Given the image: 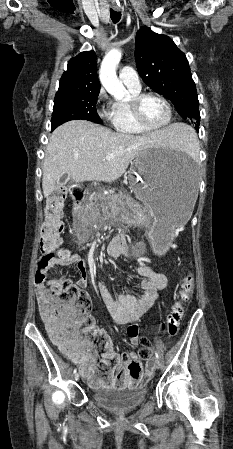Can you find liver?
Instances as JSON below:
<instances>
[{
	"instance_id": "liver-1",
	"label": "liver",
	"mask_w": 233,
	"mask_h": 449,
	"mask_svg": "<svg viewBox=\"0 0 233 449\" xmlns=\"http://www.w3.org/2000/svg\"><path fill=\"white\" fill-rule=\"evenodd\" d=\"M181 136L182 124L135 136L83 120L64 123L53 131L46 147L43 194L51 195L64 174L70 175L76 183L115 181L142 151L167 147L179 142ZM108 154H113L110 160L105 159Z\"/></svg>"
}]
</instances>
